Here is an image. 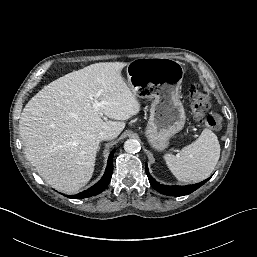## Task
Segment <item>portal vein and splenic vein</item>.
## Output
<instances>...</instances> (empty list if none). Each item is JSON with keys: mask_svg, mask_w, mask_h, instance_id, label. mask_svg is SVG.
Here are the masks:
<instances>
[{"mask_svg": "<svg viewBox=\"0 0 257 257\" xmlns=\"http://www.w3.org/2000/svg\"><path fill=\"white\" fill-rule=\"evenodd\" d=\"M103 105H104V103L98 102L97 100H95V102H94V107H95L96 109L102 107Z\"/></svg>", "mask_w": 257, "mask_h": 257, "instance_id": "1", "label": "portal vein and splenic vein"}]
</instances>
